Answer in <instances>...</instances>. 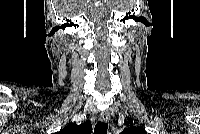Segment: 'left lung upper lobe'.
Masks as SVG:
<instances>
[{"instance_id":"5c2ea615","label":"left lung upper lobe","mask_w":200,"mask_h":134,"mask_svg":"<svg viewBox=\"0 0 200 134\" xmlns=\"http://www.w3.org/2000/svg\"><path fill=\"white\" fill-rule=\"evenodd\" d=\"M133 124V120L129 119L128 124ZM122 134H146V131L144 130V128L142 127H130V128H126Z\"/></svg>"}]
</instances>
